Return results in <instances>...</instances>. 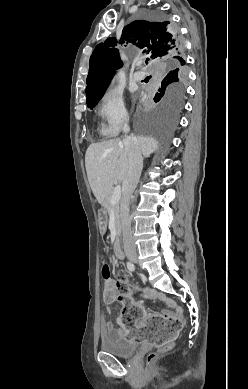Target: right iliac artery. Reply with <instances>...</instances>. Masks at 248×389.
<instances>
[{"mask_svg":"<svg viewBox=\"0 0 248 389\" xmlns=\"http://www.w3.org/2000/svg\"><path fill=\"white\" fill-rule=\"evenodd\" d=\"M127 268H128L130 271H134V270H135V266H134L131 262H127Z\"/></svg>","mask_w":248,"mask_h":389,"instance_id":"right-iliac-artery-1","label":"right iliac artery"}]
</instances>
